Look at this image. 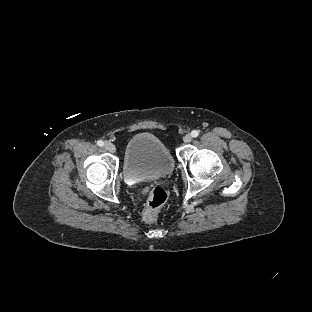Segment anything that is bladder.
Segmentation results:
<instances>
[{
    "label": "bladder",
    "instance_id": "bladder-1",
    "mask_svg": "<svg viewBox=\"0 0 312 312\" xmlns=\"http://www.w3.org/2000/svg\"><path fill=\"white\" fill-rule=\"evenodd\" d=\"M173 166L171 153L155 136L141 133L128 141L123 169L126 179L159 177L171 173Z\"/></svg>",
    "mask_w": 312,
    "mask_h": 312
}]
</instances>
